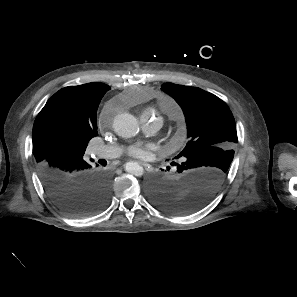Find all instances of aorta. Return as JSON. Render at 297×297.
<instances>
[{
    "label": "aorta",
    "mask_w": 297,
    "mask_h": 297,
    "mask_svg": "<svg viewBox=\"0 0 297 297\" xmlns=\"http://www.w3.org/2000/svg\"><path fill=\"white\" fill-rule=\"evenodd\" d=\"M113 128L117 135L123 138H131L138 134L139 124L137 119L129 113L118 114L113 121ZM125 170L131 175L141 177L144 169L137 162L130 161L125 164Z\"/></svg>",
    "instance_id": "762f6f07"
}]
</instances>
